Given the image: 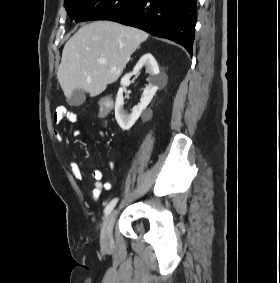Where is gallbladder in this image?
<instances>
[{
	"mask_svg": "<svg viewBox=\"0 0 280 283\" xmlns=\"http://www.w3.org/2000/svg\"><path fill=\"white\" fill-rule=\"evenodd\" d=\"M86 100L85 92L82 89L75 90L71 97L68 99V103L71 106H79L82 105Z\"/></svg>",
	"mask_w": 280,
	"mask_h": 283,
	"instance_id": "gallbladder-1",
	"label": "gallbladder"
}]
</instances>
